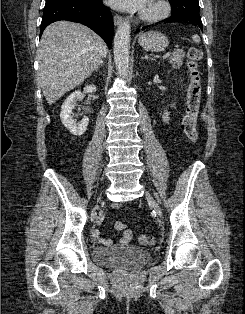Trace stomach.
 <instances>
[{"mask_svg": "<svg viewBox=\"0 0 245 314\" xmlns=\"http://www.w3.org/2000/svg\"><path fill=\"white\" fill-rule=\"evenodd\" d=\"M139 44L147 51H164L169 44L168 38L158 31H149L139 36Z\"/></svg>", "mask_w": 245, "mask_h": 314, "instance_id": "stomach-1", "label": "stomach"}]
</instances>
